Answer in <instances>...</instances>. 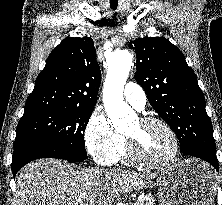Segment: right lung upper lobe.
I'll list each match as a JSON object with an SVG mask.
<instances>
[{"label": "right lung upper lobe", "mask_w": 222, "mask_h": 205, "mask_svg": "<svg viewBox=\"0 0 222 205\" xmlns=\"http://www.w3.org/2000/svg\"><path fill=\"white\" fill-rule=\"evenodd\" d=\"M101 82L91 38L67 37L49 55L24 113L49 108H94Z\"/></svg>", "instance_id": "obj_1"}]
</instances>
